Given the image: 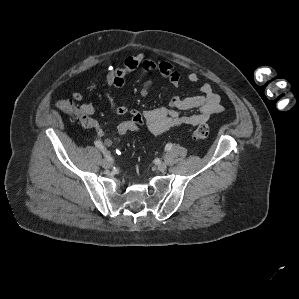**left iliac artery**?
Segmentation results:
<instances>
[{
  "mask_svg": "<svg viewBox=\"0 0 299 299\" xmlns=\"http://www.w3.org/2000/svg\"><path fill=\"white\" fill-rule=\"evenodd\" d=\"M172 149V144L171 143H168L166 146H165V150L166 151H169Z\"/></svg>",
  "mask_w": 299,
  "mask_h": 299,
  "instance_id": "1",
  "label": "left iliac artery"
}]
</instances>
